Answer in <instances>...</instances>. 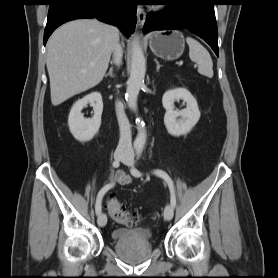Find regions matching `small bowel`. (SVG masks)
I'll list each match as a JSON object with an SVG mask.
<instances>
[{"label": "small bowel", "instance_id": "small-bowel-1", "mask_svg": "<svg viewBox=\"0 0 278 278\" xmlns=\"http://www.w3.org/2000/svg\"><path fill=\"white\" fill-rule=\"evenodd\" d=\"M116 183L120 185H130L132 183V177L125 172L118 170L109 177L108 182L104 186L111 185L112 188Z\"/></svg>", "mask_w": 278, "mask_h": 278}]
</instances>
